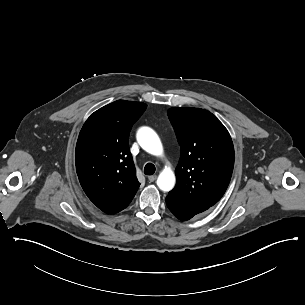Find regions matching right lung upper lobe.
<instances>
[{
	"label": "right lung upper lobe",
	"instance_id": "1",
	"mask_svg": "<svg viewBox=\"0 0 305 305\" xmlns=\"http://www.w3.org/2000/svg\"><path fill=\"white\" fill-rule=\"evenodd\" d=\"M147 105L118 100L94 112L83 125L75 152L76 171L89 199L107 214L126 208L140 183L128 139Z\"/></svg>",
	"mask_w": 305,
	"mask_h": 305
}]
</instances>
